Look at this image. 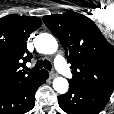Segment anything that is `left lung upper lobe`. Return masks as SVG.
Masks as SVG:
<instances>
[{"instance_id": "5c2ea615", "label": "left lung upper lobe", "mask_w": 114, "mask_h": 114, "mask_svg": "<svg viewBox=\"0 0 114 114\" xmlns=\"http://www.w3.org/2000/svg\"><path fill=\"white\" fill-rule=\"evenodd\" d=\"M43 21L67 53L73 71L69 81L112 93L114 48L94 22L75 12L44 16Z\"/></svg>"}]
</instances>
